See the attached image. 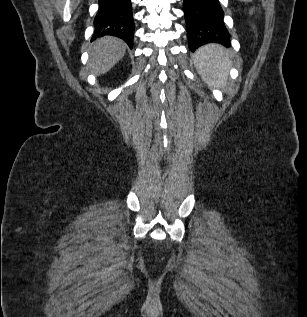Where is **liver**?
<instances>
[{
    "label": "liver",
    "mask_w": 307,
    "mask_h": 317,
    "mask_svg": "<svg viewBox=\"0 0 307 317\" xmlns=\"http://www.w3.org/2000/svg\"><path fill=\"white\" fill-rule=\"evenodd\" d=\"M126 48V43L116 37L97 39L89 50L88 68L96 76L107 73L123 58Z\"/></svg>",
    "instance_id": "obj_1"
}]
</instances>
